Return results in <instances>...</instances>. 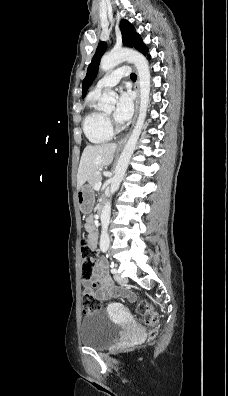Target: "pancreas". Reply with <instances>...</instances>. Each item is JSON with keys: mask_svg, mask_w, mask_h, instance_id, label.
<instances>
[{"mask_svg": "<svg viewBox=\"0 0 228 396\" xmlns=\"http://www.w3.org/2000/svg\"><path fill=\"white\" fill-rule=\"evenodd\" d=\"M102 180V176L99 173H95L89 180V185L91 188H94L95 184Z\"/></svg>", "mask_w": 228, "mask_h": 396, "instance_id": "1", "label": "pancreas"}]
</instances>
